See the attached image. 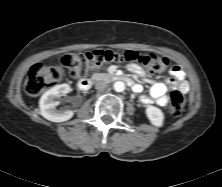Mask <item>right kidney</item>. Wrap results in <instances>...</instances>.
<instances>
[{"label":"right kidney","mask_w":222,"mask_h":187,"mask_svg":"<svg viewBox=\"0 0 222 187\" xmlns=\"http://www.w3.org/2000/svg\"><path fill=\"white\" fill-rule=\"evenodd\" d=\"M70 91L71 88L68 84L57 85L46 91L39 101L41 115L52 122H64L71 119L74 115L73 111L57 110L55 108L59 104L58 101H55V98Z\"/></svg>","instance_id":"right-kidney-1"}]
</instances>
